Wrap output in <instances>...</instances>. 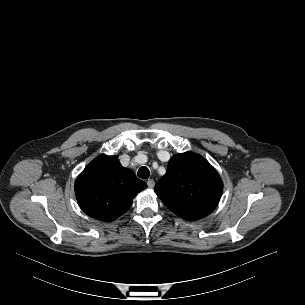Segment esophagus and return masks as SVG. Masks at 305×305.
<instances>
[{"mask_svg": "<svg viewBox=\"0 0 305 305\" xmlns=\"http://www.w3.org/2000/svg\"><path fill=\"white\" fill-rule=\"evenodd\" d=\"M147 185H148V187H149L150 189H152V188H154V186H155V181H154L153 179H149V180L147 181Z\"/></svg>", "mask_w": 305, "mask_h": 305, "instance_id": "34e87169", "label": "esophagus"}]
</instances>
